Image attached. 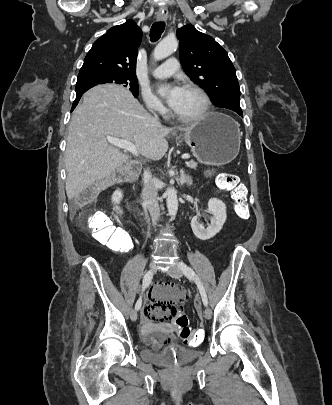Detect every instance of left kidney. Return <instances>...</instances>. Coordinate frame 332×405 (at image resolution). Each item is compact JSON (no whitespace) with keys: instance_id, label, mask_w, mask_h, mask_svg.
Instances as JSON below:
<instances>
[{"instance_id":"1","label":"left kidney","mask_w":332,"mask_h":405,"mask_svg":"<svg viewBox=\"0 0 332 405\" xmlns=\"http://www.w3.org/2000/svg\"><path fill=\"white\" fill-rule=\"evenodd\" d=\"M201 216L210 220V224L207 227L199 222V217ZM226 218L227 215L225 204L217 198H211L208 201V209L206 213L196 215L192 218L191 228L198 239L208 240L220 232L224 223L226 222Z\"/></svg>"}]
</instances>
